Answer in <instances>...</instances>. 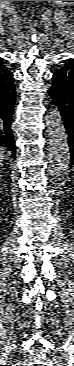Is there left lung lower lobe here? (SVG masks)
Returning <instances> with one entry per match:
<instances>
[{
    "label": "left lung lower lobe",
    "instance_id": "0a47b994",
    "mask_svg": "<svg viewBox=\"0 0 74 366\" xmlns=\"http://www.w3.org/2000/svg\"><path fill=\"white\" fill-rule=\"evenodd\" d=\"M52 80L53 85L49 93L60 110L68 134L70 165L74 166V58L65 60L64 65L54 73Z\"/></svg>",
    "mask_w": 74,
    "mask_h": 366
}]
</instances>
